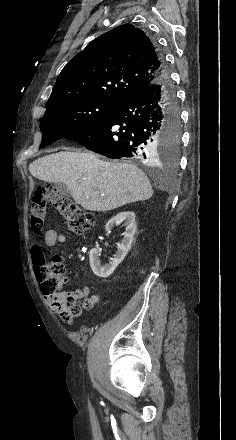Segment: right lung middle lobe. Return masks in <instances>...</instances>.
<instances>
[{
  "label": "right lung middle lobe",
  "instance_id": "1",
  "mask_svg": "<svg viewBox=\"0 0 236 440\" xmlns=\"http://www.w3.org/2000/svg\"><path fill=\"white\" fill-rule=\"evenodd\" d=\"M119 105L120 103L94 98L47 102L45 114L40 122L42 131L40 148L91 128L110 115ZM179 142L180 127L174 130L166 129L158 143L162 158L174 164L177 161Z\"/></svg>",
  "mask_w": 236,
  "mask_h": 440
}]
</instances>
